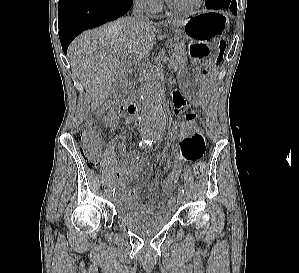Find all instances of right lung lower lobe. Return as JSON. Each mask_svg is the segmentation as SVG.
<instances>
[{
  "label": "right lung lower lobe",
  "mask_w": 299,
  "mask_h": 273,
  "mask_svg": "<svg viewBox=\"0 0 299 273\" xmlns=\"http://www.w3.org/2000/svg\"><path fill=\"white\" fill-rule=\"evenodd\" d=\"M133 0H59V37L64 53L81 32L125 14Z\"/></svg>",
  "instance_id": "obj_1"
}]
</instances>
